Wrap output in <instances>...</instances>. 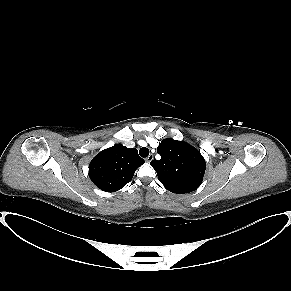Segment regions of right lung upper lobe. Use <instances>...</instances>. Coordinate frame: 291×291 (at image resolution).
Listing matches in <instances>:
<instances>
[{
	"mask_svg": "<svg viewBox=\"0 0 291 291\" xmlns=\"http://www.w3.org/2000/svg\"><path fill=\"white\" fill-rule=\"evenodd\" d=\"M144 163L136 148L116 144L98 153L89 164V177L105 192L122 189Z\"/></svg>",
	"mask_w": 291,
	"mask_h": 291,
	"instance_id": "1",
	"label": "right lung upper lobe"
}]
</instances>
